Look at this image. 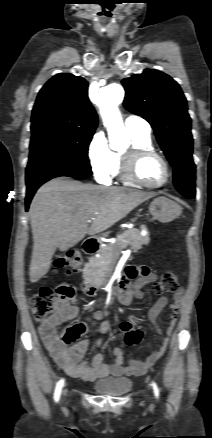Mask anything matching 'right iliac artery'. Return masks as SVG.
Returning <instances> with one entry per match:
<instances>
[{
    "instance_id": "right-iliac-artery-1",
    "label": "right iliac artery",
    "mask_w": 212,
    "mask_h": 438,
    "mask_svg": "<svg viewBox=\"0 0 212 438\" xmlns=\"http://www.w3.org/2000/svg\"><path fill=\"white\" fill-rule=\"evenodd\" d=\"M63 385H64V379H61V380L57 383V385H56L55 392H54V400H55L56 402H57V401L59 400V398H60L61 390H62Z\"/></svg>"
}]
</instances>
